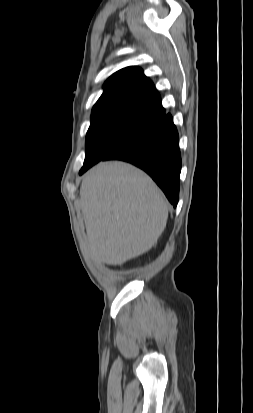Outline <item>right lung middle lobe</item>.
Masks as SVG:
<instances>
[{
  "mask_svg": "<svg viewBox=\"0 0 253 413\" xmlns=\"http://www.w3.org/2000/svg\"><path fill=\"white\" fill-rule=\"evenodd\" d=\"M162 121V118L147 116L129 110H113L91 115V124L86 134L84 171L107 155L145 134Z\"/></svg>",
  "mask_w": 253,
  "mask_h": 413,
  "instance_id": "obj_1",
  "label": "right lung middle lobe"
}]
</instances>
